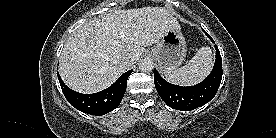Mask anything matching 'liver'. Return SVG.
I'll return each mask as SVG.
<instances>
[{"label": "liver", "instance_id": "obj_1", "mask_svg": "<svg viewBox=\"0 0 276 138\" xmlns=\"http://www.w3.org/2000/svg\"><path fill=\"white\" fill-rule=\"evenodd\" d=\"M179 24L166 7L116 9L82 24L67 39L60 56L59 73L71 89L85 94L112 85L135 64L144 47L158 43ZM130 56V65L121 63Z\"/></svg>", "mask_w": 276, "mask_h": 138}]
</instances>
